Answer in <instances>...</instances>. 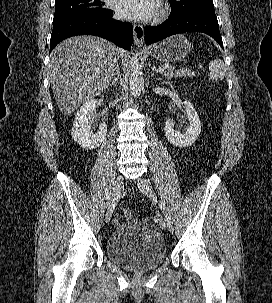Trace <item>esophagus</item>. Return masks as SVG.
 <instances>
[{"mask_svg": "<svg viewBox=\"0 0 272 303\" xmlns=\"http://www.w3.org/2000/svg\"><path fill=\"white\" fill-rule=\"evenodd\" d=\"M134 43L137 46H142L144 42V28L140 24L133 25Z\"/></svg>", "mask_w": 272, "mask_h": 303, "instance_id": "1", "label": "esophagus"}]
</instances>
